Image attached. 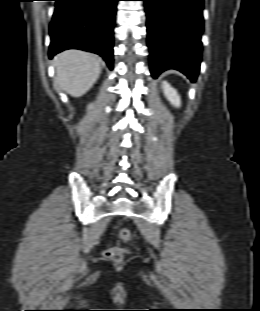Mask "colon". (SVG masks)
Segmentation results:
<instances>
[{"mask_svg":"<svg viewBox=\"0 0 260 311\" xmlns=\"http://www.w3.org/2000/svg\"><path fill=\"white\" fill-rule=\"evenodd\" d=\"M118 236L123 240L131 239V233L128 229H120ZM124 253L125 250L120 247H112L105 250V256L114 262H120L123 259Z\"/></svg>","mask_w":260,"mask_h":311,"instance_id":"obj_1","label":"colon"}]
</instances>
